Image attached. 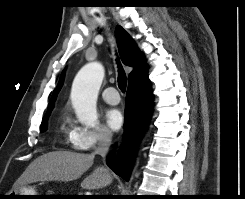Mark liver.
I'll use <instances>...</instances> for the list:
<instances>
[{
	"instance_id": "liver-1",
	"label": "liver",
	"mask_w": 245,
	"mask_h": 199,
	"mask_svg": "<svg viewBox=\"0 0 245 199\" xmlns=\"http://www.w3.org/2000/svg\"><path fill=\"white\" fill-rule=\"evenodd\" d=\"M94 155L70 151H54L36 158L17 183L18 186L33 182H69L82 176L93 164ZM112 175L104 167H97L81 182L83 189L95 190L110 185Z\"/></svg>"
}]
</instances>
